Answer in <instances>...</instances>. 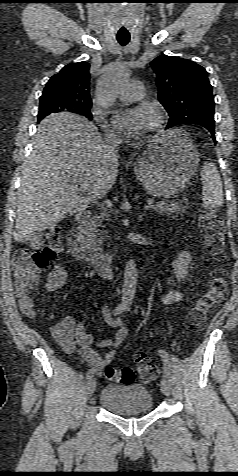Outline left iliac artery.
I'll return each instance as SVG.
<instances>
[{"label":"left iliac artery","instance_id":"1","mask_svg":"<svg viewBox=\"0 0 238 476\" xmlns=\"http://www.w3.org/2000/svg\"><path fill=\"white\" fill-rule=\"evenodd\" d=\"M126 310L129 311L130 307H126ZM159 355L162 358L164 368H163V377L166 378L170 382V364H169V356L167 352L164 350H159L158 351Z\"/></svg>","mask_w":238,"mask_h":476}]
</instances>
